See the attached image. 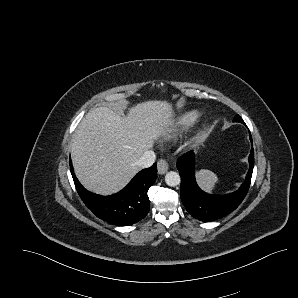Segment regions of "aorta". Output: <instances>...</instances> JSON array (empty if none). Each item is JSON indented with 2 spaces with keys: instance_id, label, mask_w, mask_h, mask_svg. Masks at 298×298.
I'll use <instances>...</instances> for the list:
<instances>
[{
  "instance_id": "aorta-1",
  "label": "aorta",
  "mask_w": 298,
  "mask_h": 298,
  "mask_svg": "<svg viewBox=\"0 0 298 298\" xmlns=\"http://www.w3.org/2000/svg\"><path fill=\"white\" fill-rule=\"evenodd\" d=\"M164 181L166 185L174 187L181 183V176L176 171H168L164 175Z\"/></svg>"
}]
</instances>
